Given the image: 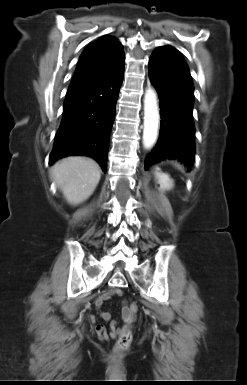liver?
I'll return each mask as SVG.
<instances>
[{"label":"liver","instance_id":"6515ba94","mask_svg":"<svg viewBox=\"0 0 247 385\" xmlns=\"http://www.w3.org/2000/svg\"><path fill=\"white\" fill-rule=\"evenodd\" d=\"M52 178L66 200L78 205L94 192L101 177V169L91 158L72 156L54 164Z\"/></svg>","mask_w":247,"mask_h":385}]
</instances>
